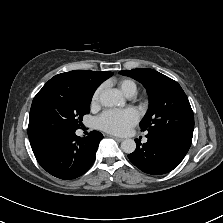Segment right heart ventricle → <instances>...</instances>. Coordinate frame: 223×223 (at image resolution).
Here are the masks:
<instances>
[{"label":"right heart ventricle","mask_w":223,"mask_h":223,"mask_svg":"<svg viewBox=\"0 0 223 223\" xmlns=\"http://www.w3.org/2000/svg\"><path fill=\"white\" fill-rule=\"evenodd\" d=\"M119 86H120L122 92L127 96L130 95V94L135 95L136 92H137L136 83L133 80H130V79L121 80L119 82Z\"/></svg>","instance_id":"obj_1"}]
</instances>
